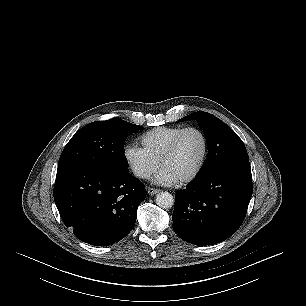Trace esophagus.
Instances as JSON below:
<instances>
[{"label":"esophagus","mask_w":306,"mask_h":306,"mask_svg":"<svg viewBox=\"0 0 306 306\" xmlns=\"http://www.w3.org/2000/svg\"><path fill=\"white\" fill-rule=\"evenodd\" d=\"M147 192L149 195H155L160 192V189L148 188Z\"/></svg>","instance_id":"esophagus-1"}]
</instances>
